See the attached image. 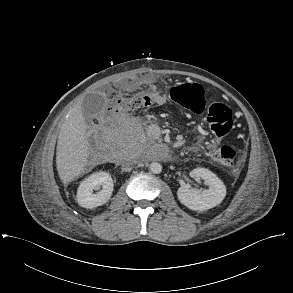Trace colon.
<instances>
[{"label":"colon","mask_w":293,"mask_h":293,"mask_svg":"<svg viewBox=\"0 0 293 293\" xmlns=\"http://www.w3.org/2000/svg\"><path fill=\"white\" fill-rule=\"evenodd\" d=\"M171 100L193 113L200 114L206 109L204 90L196 83H184L174 87L170 92ZM152 94L139 93L120 99L112 106L116 112L133 111L146 108L154 103ZM207 124L213 135L219 139L226 135L233 125L232 111L224 103H211L207 108ZM209 156L224 167L236 168V152L230 146H218L216 142L208 146Z\"/></svg>","instance_id":"colon-1"}]
</instances>
